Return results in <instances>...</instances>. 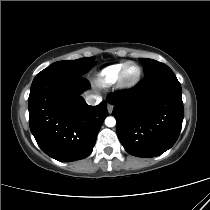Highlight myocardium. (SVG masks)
<instances>
[{
	"label": "myocardium",
	"instance_id": "1",
	"mask_svg": "<svg viewBox=\"0 0 210 210\" xmlns=\"http://www.w3.org/2000/svg\"><path fill=\"white\" fill-rule=\"evenodd\" d=\"M129 65H135L137 68H138V73L137 75L133 78V79H128L126 77V69ZM142 77V68L141 66L134 62V61H127L124 63V65L122 66L121 70H120V73H119V77H118V82H119V85L122 87V88H132L134 86H136L140 79Z\"/></svg>",
	"mask_w": 210,
	"mask_h": 210
}]
</instances>
